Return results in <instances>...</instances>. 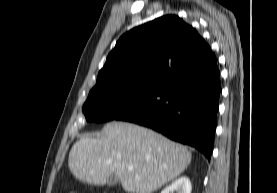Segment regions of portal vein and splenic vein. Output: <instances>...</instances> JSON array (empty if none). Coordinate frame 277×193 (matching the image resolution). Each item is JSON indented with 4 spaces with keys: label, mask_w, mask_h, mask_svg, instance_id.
<instances>
[{
    "label": "portal vein and splenic vein",
    "mask_w": 277,
    "mask_h": 193,
    "mask_svg": "<svg viewBox=\"0 0 277 193\" xmlns=\"http://www.w3.org/2000/svg\"><path fill=\"white\" fill-rule=\"evenodd\" d=\"M128 170H129V171H133V170H134V167H133V166H128Z\"/></svg>",
    "instance_id": "portal-vein-and-splenic-vein-1"
}]
</instances>
